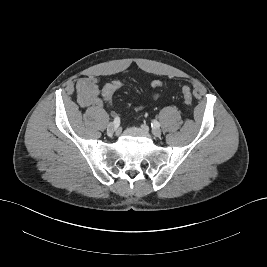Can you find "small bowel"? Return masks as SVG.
<instances>
[{
    "mask_svg": "<svg viewBox=\"0 0 267 267\" xmlns=\"http://www.w3.org/2000/svg\"><path fill=\"white\" fill-rule=\"evenodd\" d=\"M153 89H158L164 86L160 80H154L151 83ZM77 101L81 107L103 106V99L100 93L99 79L95 77H87L78 80L76 84ZM156 97L158 95H155Z\"/></svg>",
    "mask_w": 267,
    "mask_h": 267,
    "instance_id": "1",
    "label": "small bowel"
}]
</instances>
